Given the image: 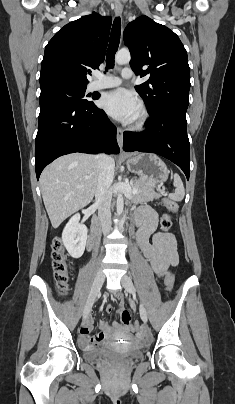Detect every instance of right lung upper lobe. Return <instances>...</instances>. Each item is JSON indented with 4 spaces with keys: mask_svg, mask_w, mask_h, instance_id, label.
<instances>
[{
    "mask_svg": "<svg viewBox=\"0 0 235 404\" xmlns=\"http://www.w3.org/2000/svg\"><path fill=\"white\" fill-rule=\"evenodd\" d=\"M110 27V17L94 12L61 28L45 47L40 85L56 81L87 85L90 68H98L105 59Z\"/></svg>",
    "mask_w": 235,
    "mask_h": 404,
    "instance_id": "obj_1",
    "label": "right lung upper lobe"
}]
</instances>
